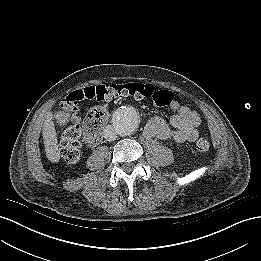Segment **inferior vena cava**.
I'll list each match as a JSON object with an SVG mask.
<instances>
[{
  "instance_id": "obj_1",
  "label": "inferior vena cava",
  "mask_w": 261,
  "mask_h": 261,
  "mask_svg": "<svg viewBox=\"0 0 261 261\" xmlns=\"http://www.w3.org/2000/svg\"><path fill=\"white\" fill-rule=\"evenodd\" d=\"M103 135H104V138L109 142L114 141L117 138V134H116L114 128L110 125L105 127Z\"/></svg>"
}]
</instances>
